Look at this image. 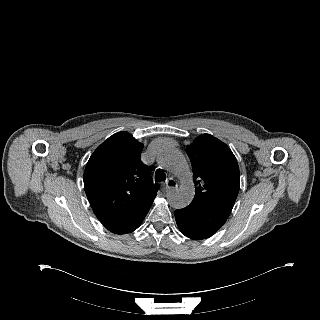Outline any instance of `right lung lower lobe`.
Wrapping results in <instances>:
<instances>
[{
  "label": "right lung lower lobe",
  "instance_id": "1",
  "mask_svg": "<svg viewBox=\"0 0 320 320\" xmlns=\"http://www.w3.org/2000/svg\"><path fill=\"white\" fill-rule=\"evenodd\" d=\"M150 208L142 209L130 215L101 222L109 231L115 234H126L136 230Z\"/></svg>",
  "mask_w": 320,
  "mask_h": 320
}]
</instances>
